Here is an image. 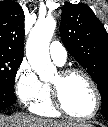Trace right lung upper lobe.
<instances>
[{
  "mask_svg": "<svg viewBox=\"0 0 108 127\" xmlns=\"http://www.w3.org/2000/svg\"><path fill=\"white\" fill-rule=\"evenodd\" d=\"M24 12L14 1L0 2V52L17 56L24 54Z\"/></svg>",
  "mask_w": 108,
  "mask_h": 127,
  "instance_id": "1",
  "label": "right lung upper lobe"
}]
</instances>
